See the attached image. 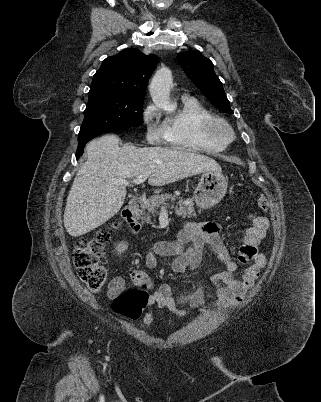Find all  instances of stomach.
I'll list each match as a JSON object with an SVG mask.
<instances>
[{
  "label": "stomach",
  "instance_id": "obj_1",
  "mask_svg": "<svg viewBox=\"0 0 321 402\" xmlns=\"http://www.w3.org/2000/svg\"><path fill=\"white\" fill-rule=\"evenodd\" d=\"M228 181L219 171H205L194 192V201L202 209H208L219 203L225 196Z\"/></svg>",
  "mask_w": 321,
  "mask_h": 402
}]
</instances>
